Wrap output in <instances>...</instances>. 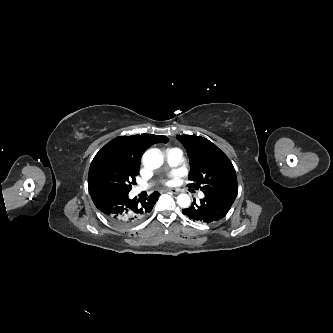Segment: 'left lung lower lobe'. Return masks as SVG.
<instances>
[{
	"label": "left lung lower lobe",
	"mask_w": 333,
	"mask_h": 333,
	"mask_svg": "<svg viewBox=\"0 0 333 333\" xmlns=\"http://www.w3.org/2000/svg\"><path fill=\"white\" fill-rule=\"evenodd\" d=\"M233 202L228 198L205 194L199 204L194 200L189 208L183 210V214L196 221L211 223L225 217Z\"/></svg>",
	"instance_id": "left-lung-lower-lobe-1"
}]
</instances>
